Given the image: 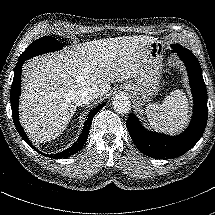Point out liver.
<instances>
[{"label":"liver","instance_id":"liver-1","mask_svg":"<svg viewBox=\"0 0 215 215\" xmlns=\"http://www.w3.org/2000/svg\"><path fill=\"white\" fill-rule=\"evenodd\" d=\"M156 38L122 36L87 41L28 60L22 71L20 123L36 145L56 139L67 127L83 87L108 95L111 83L131 78Z\"/></svg>","mask_w":215,"mask_h":215}]
</instances>
